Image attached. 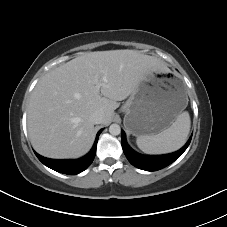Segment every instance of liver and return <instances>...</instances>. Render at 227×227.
<instances>
[{
	"mask_svg": "<svg viewBox=\"0 0 227 227\" xmlns=\"http://www.w3.org/2000/svg\"><path fill=\"white\" fill-rule=\"evenodd\" d=\"M150 72L168 68L136 50L89 52L49 71L29 102L27 127L33 148L48 158L85 155L95 138L92 113L102 112V124H108L119 107L117 101L131 95Z\"/></svg>",
	"mask_w": 227,
	"mask_h": 227,
	"instance_id": "liver-1",
	"label": "liver"
}]
</instances>
